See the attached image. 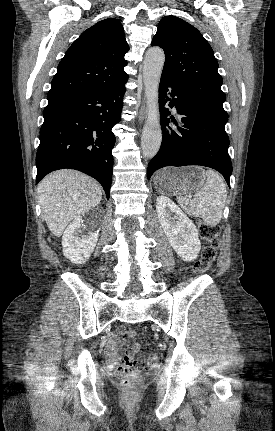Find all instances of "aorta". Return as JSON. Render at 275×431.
Instances as JSON below:
<instances>
[{
    "mask_svg": "<svg viewBox=\"0 0 275 431\" xmlns=\"http://www.w3.org/2000/svg\"><path fill=\"white\" fill-rule=\"evenodd\" d=\"M165 62L164 51L159 47L150 48L143 62V83L147 103V119L141 137L142 153L146 158H153L161 145L158 89Z\"/></svg>",
    "mask_w": 275,
    "mask_h": 431,
    "instance_id": "obj_1",
    "label": "aorta"
}]
</instances>
